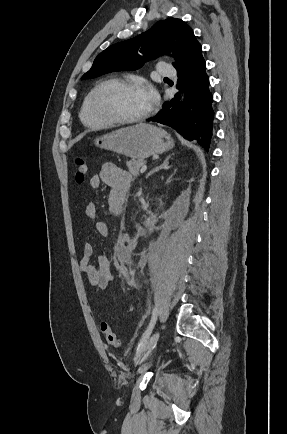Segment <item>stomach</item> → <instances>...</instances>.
Wrapping results in <instances>:
<instances>
[{"label":"stomach","instance_id":"stomach-1","mask_svg":"<svg viewBox=\"0 0 287 434\" xmlns=\"http://www.w3.org/2000/svg\"><path fill=\"white\" fill-rule=\"evenodd\" d=\"M94 145L132 159H144L170 150L174 141L166 131L156 126L140 123L96 137Z\"/></svg>","mask_w":287,"mask_h":434}]
</instances>
